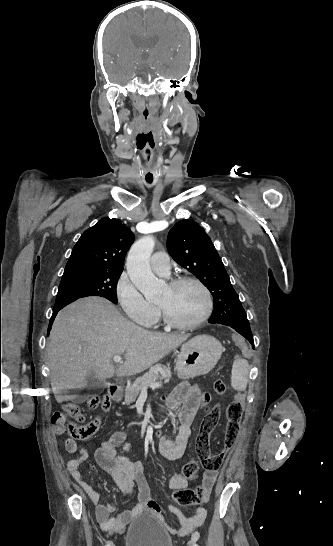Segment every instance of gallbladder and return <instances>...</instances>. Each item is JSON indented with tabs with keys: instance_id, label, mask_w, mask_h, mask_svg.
Masks as SVG:
<instances>
[{
	"instance_id": "obj_1",
	"label": "gallbladder",
	"mask_w": 333,
	"mask_h": 546,
	"mask_svg": "<svg viewBox=\"0 0 333 546\" xmlns=\"http://www.w3.org/2000/svg\"><path fill=\"white\" fill-rule=\"evenodd\" d=\"M105 388H106V382L104 380H99L98 378H96L95 374L91 372L87 376V385H86L87 394L84 396H80V395L75 396L73 398V401L76 403H81L83 402V400L87 398V396L100 392L104 390Z\"/></svg>"
}]
</instances>
